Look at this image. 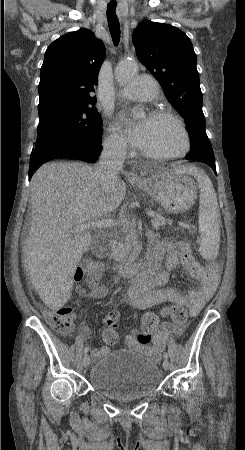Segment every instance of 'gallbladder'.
I'll list each match as a JSON object with an SVG mask.
<instances>
[{
    "label": "gallbladder",
    "mask_w": 245,
    "mask_h": 450,
    "mask_svg": "<svg viewBox=\"0 0 245 450\" xmlns=\"http://www.w3.org/2000/svg\"><path fill=\"white\" fill-rule=\"evenodd\" d=\"M91 251L94 255L98 257L103 256V253L101 252V249L98 246H92Z\"/></svg>",
    "instance_id": "bac80fb5"
}]
</instances>
